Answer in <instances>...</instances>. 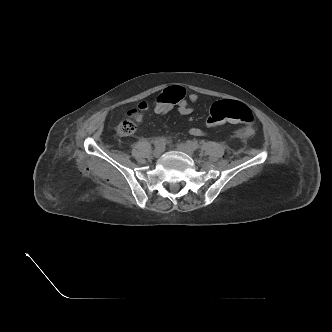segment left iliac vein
I'll return each instance as SVG.
<instances>
[{
  "label": "left iliac vein",
  "mask_w": 332,
  "mask_h": 332,
  "mask_svg": "<svg viewBox=\"0 0 332 332\" xmlns=\"http://www.w3.org/2000/svg\"><path fill=\"white\" fill-rule=\"evenodd\" d=\"M177 148L188 155H192L194 152V149L187 143H180L177 145Z\"/></svg>",
  "instance_id": "left-iliac-vein-1"
}]
</instances>
